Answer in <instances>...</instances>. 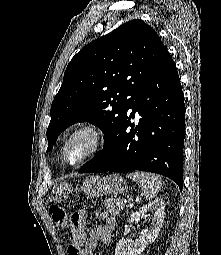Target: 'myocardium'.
<instances>
[{"mask_svg":"<svg viewBox=\"0 0 221 255\" xmlns=\"http://www.w3.org/2000/svg\"><path fill=\"white\" fill-rule=\"evenodd\" d=\"M81 134H87L90 136L91 138V147L88 150V152L77 162L74 163H70L67 161L66 159V149L68 144L70 143V141L72 139H74L75 137L81 135ZM103 131L100 128V126H98L97 124L94 123H87V124H83L77 128H75L65 139L63 146H62V150H61V156H62V160L65 164L69 165V166H80L83 163H85L88 159H90L91 157H93L101 148L102 143H103Z\"/></svg>","mask_w":221,"mask_h":255,"instance_id":"f54148a6","label":"myocardium"}]
</instances>
